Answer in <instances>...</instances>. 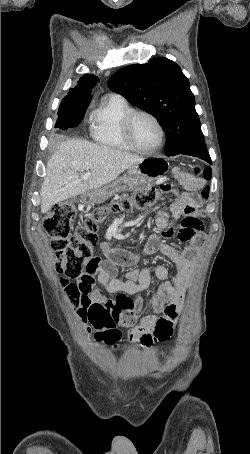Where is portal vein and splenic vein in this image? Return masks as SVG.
I'll return each instance as SVG.
<instances>
[{"label":"portal vein and splenic vein","instance_id":"1","mask_svg":"<svg viewBox=\"0 0 250 454\" xmlns=\"http://www.w3.org/2000/svg\"><path fill=\"white\" fill-rule=\"evenodd\" d=\"M90 177H91L90 172H86L81 175V179H83V180L89 179Z\"/></svg>","mask_w":250,"mask_h":454}]
</instances>
